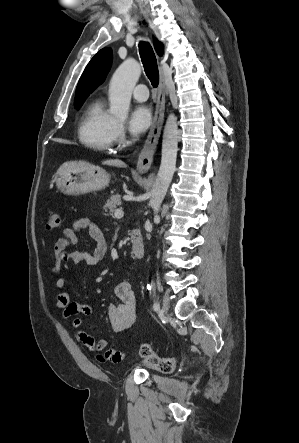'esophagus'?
I'll use <instances>...</instances> for the list:
<instances>
[{
  "mask_svg": "<svg viewBox=\"0 0 299 443\" xmlns=\"http://www.w3.org/2000/svg\"><path fill=\"white\" fill-rule=\"evenodd\" d=\"M165 98H166L165 76L163 72H161L153 122L149 134L147 136V139L144 143V146L140 152L136 165L137 171L141 173L147 172L150 169L153 161V156L161 134L162 124L164 120Z\"/></svg>",
  "mask_w": 299,
  "mask_h": 443,
  "instance_id": "obj_1",
  "label": "esophagus"
}]
</instances>
